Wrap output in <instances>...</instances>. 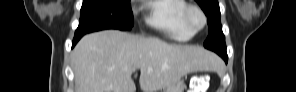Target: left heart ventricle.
<instances>
[{
    "instance_id": "obj_1",
    "label": "left heart ventricle",
    "mask_w": 296,
    "mask_h": 92,
    "mask_svg": "<svg viewBox=\"0 0 296 92\" xmlns=\"http://www.w3.org/2000/svg\"><path fill=\"white\" fill-rule=\"evenodd\" d=\"M192 21L194 25L198 26L201 23V17L197 13L192 14Z\"/></svg>"
}]
</instances>
